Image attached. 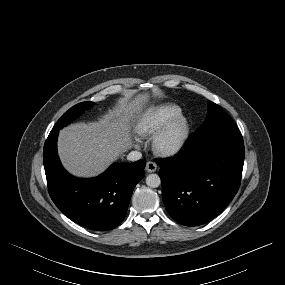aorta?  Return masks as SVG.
Here are the masks:
<instances>
[{
	"instance_id": "obj_1",
	"label": "aorta",
	"mask_w": 285,
	"mask_h": 285,
	"mask_svg": "<svg viewBox=\"0 0 285 285\" xmlns=\"http://www.w3.org/2000/svg\"><path fill=\"white\" fill-rule=\"evenodd\" d=\"M146 184L151 188H157L161 184L160 177L157 174H149L146 177Z\"/></svg>"
}]
</instances>
